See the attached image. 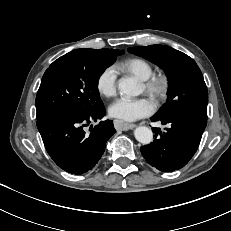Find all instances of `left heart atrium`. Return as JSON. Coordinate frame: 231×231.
Masks as SVG:
<instances>
[{"instance_id": "1", "label": "left heart atrium", "mask_w": 231, "mask_h": 231, "mask_svg": "<svg viewBox=\"0 0 231 231\" xmlns=\"http://www.w3.org/2000/svg\"><path fill=\"white\" fill-rule=\"evenodd\" d=\"M154 109V103L147 98H131L123 96L110 105L109 113L117 119L133 121L149 116L153 113Z\"/></svg>"}]
</instances>
